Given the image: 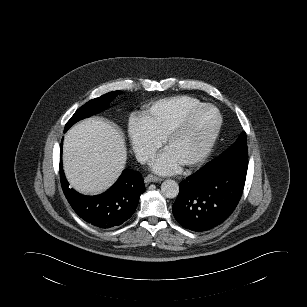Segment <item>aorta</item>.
Segmentation results:
<instances>
[{"label": "aorta", "instance_id": "762f6f07", "mask_svg": "<svg viewBox=\"0 0 307 307\" xmlns=\"http://www.w3.org/2000/svg\"><path fill=\"white\" fill-rule=\"evenodd\" d=\"M161 192L166 198H175L179 193V185L176 181L168 179L161 184Z\"/></svg>", "mask_w": 307, "mask_h": 307}]
</instances>
